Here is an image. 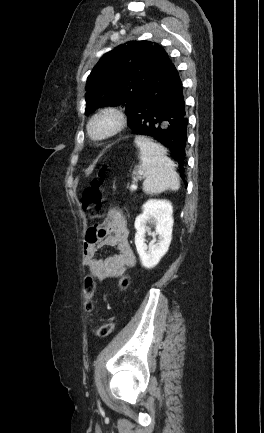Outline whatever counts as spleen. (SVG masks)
<instances>
[{
    "label": "spleen",
    "mask_w": 264,
    "mask_h": 433,
    "mask_svg": "<svg viewBox=\"0 0 264 433\" xmlns=\"http://www.w3.org/2000/svg\"><path fill=\"white\" fill-rule=\"evenodd\" d=\"M140 149V173L145 176L143 190L147 194H159L180 188L173 161L166 156L163 146L147 137L137 136L134 140Z\"/></svg>",
    "instance_id": "3e777b00"
}]
</instances>
